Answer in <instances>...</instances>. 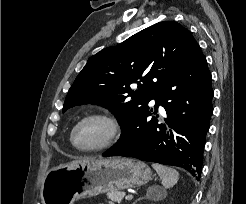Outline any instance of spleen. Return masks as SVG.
Masks as SVG:
<instances>
[{"mask_svg": "<svg viewBox=\"0 0 246 204\" xmlns=\"http://www.w3.org/2000/svg\"><path fill=\"white\" fill-rule=\"evenodd\" d=\"M152 167L158 173L164 188H170L178 182L179 173L177 170L158 163H153Z\"/></svg>", "mask_w": 246, "mask_h": 204, "instance_id": "spleen-1", "label": "spleen"}]
</instances>
